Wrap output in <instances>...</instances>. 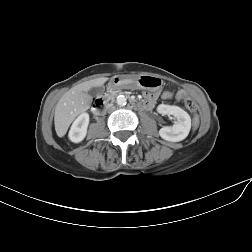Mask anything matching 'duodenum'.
<instances>
[{
  "label": "duodenum",
  "instance_id": "410a0bca",
  "mask_svg": "<svg viewBox=\"0 0 252 252\" xmlns=\"http://www.w3.org/2000/svg\"><path fill=\"white\" fill-rule=\"evenodd\" d=\"M109 87H110V89L112 91H114V89L116 87L115 82L110 83ZM111 96L112 95H107V96L101 97V98H99V99L96 100V102L94 104V108H93L95 114L98 115V114H100L104 110V108L106 107V105L110 101ZM130 103L135 108H138V109H144L145 108V104L144 103L136 101L134 99H131Z\"/></svg>",
  "mask_w": 252,
  "mask_h": 252
}]
</instances>
